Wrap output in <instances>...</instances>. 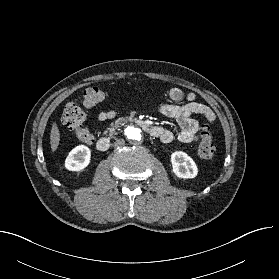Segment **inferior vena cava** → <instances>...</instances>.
I'll use <instances>...</instances> for the list:
<instances>
[{
  "label": "inferior vena cava",
  "mask_w": 279,
  "mask_h": 279,
  "mask_svg": "<svg viewBox=\"0 0 279 279\" xmlns=\"http://www.w3.org/2000/svg\"><path fill=\"white\" fill-rule=\"evenodd\" d=\"M124 144H125L124 139H118V140H116V142L114 143V146H115V147H120V146H123Z\"/></svg>",
  "instance_id": "602c4592"
}]
</instances>
